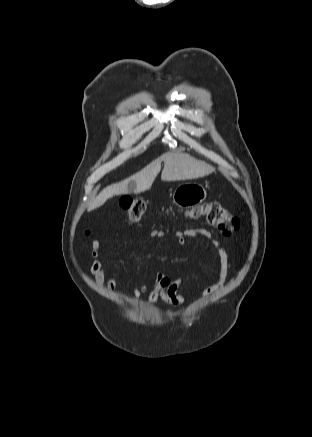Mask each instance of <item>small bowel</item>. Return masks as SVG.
I'll list each match as a JSON object with an SVG mask.
<instances>
[{"label": "small bowel", "mask_w": 312, "mask_h": 437, "mask_svg": "<svg viewBox=\"0 0 312 437\" xmlns=\"http://www.w3.org/2000/svg\"><path fill=\"white\" fill-rule=\"evenodd\" d=\"M150 235L159 238L163 237L164 233L160 230H153ZM175 236L181 245L185 244L186 237H206L211 241L218 251L221 266L216 282L205 288L203 294L209 295L220 290L226 283L231 268L228 255L220 243L204 229L179 230L176 231ZM92 256L93 262L90 267V272L95 278L97 284L101 287L105 286L109 291H114L116 288V278H105L106 264L102 261V247L99 239H95L92 243ZM182 283V279H171L164 274L158 273L156 275L155 283L151 287L143 285L135 288L133 293L136 297H139L142 294H148L147 302L150 305L155 304L158 300H162L172 307H177L188 301V297L180 291Z\"/></svg>", "instance_id": "small-bowel-1"}]
</instances>
